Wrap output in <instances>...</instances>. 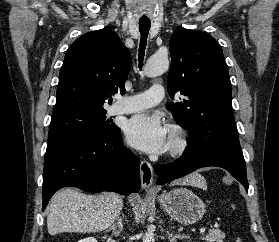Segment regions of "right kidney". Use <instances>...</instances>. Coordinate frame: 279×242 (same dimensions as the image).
Returning <instances> with one entry per match:
<instances>
[{"mask_svg": "<svg viewBox=\"0 0 279 242\" xmlns=\"http://www.w3.org/2000/svg\"><path fill=\"white\" fill-rule=\"evenodd\" d=\"M78 242H97V240L94 237H87L79 240Z\"/></svg>", "mask_w": 279, "mask_h": 242, "instance_id": "obj_1", "label": "right kidney"}]
</instances>
